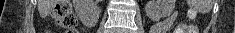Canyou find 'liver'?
I'll use <instances>...</instances> for the list:
<instances>
[{
	"label": "liver",
	"mask_w": 235,
	"mask_h": 33,
	"mask_svg": "<svg viewBox=\"0 0 235 33\" xmlns=\"http://www.w3.org/2000/svg\"><path fill=\"white\" fill-rule=\"evenodd\" d=\"M51 8L52 5L50 0H38V11L41 16H47Z\"/></svg>",
	"instance_id": "liver-1"
}]
</instances>
